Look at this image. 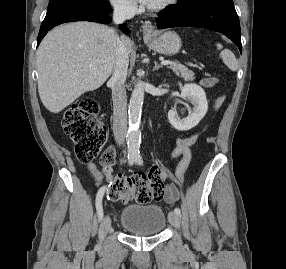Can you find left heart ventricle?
I'll use <instances>...</instances> for the list:
<instances>
[{"label":"left heart ventricle","instance_id":"left-heart-ventricle-1","mask_svg":"<svg viewBox=\"0 0 286 269\" xmlns=\"http://www.w3.org/2000/svg\"><path fill=\"white\" fill-rule=\"evenodd\" d=\"M162 1H163V0H153L152 3H151V5L158 4V3L162 2Z\"/></svg>","mask_w":286,"mask_h":269}]
</instances>
